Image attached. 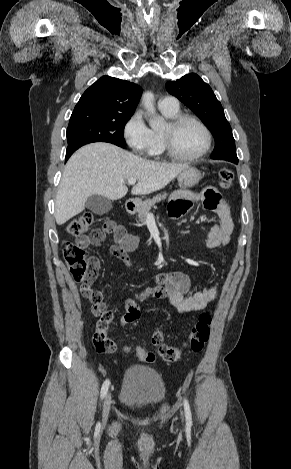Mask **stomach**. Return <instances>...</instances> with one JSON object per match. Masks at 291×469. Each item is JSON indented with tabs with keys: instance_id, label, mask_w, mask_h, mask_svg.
Returning a JSON list of instances; mask_svg holds the SVG:
<instances>
[{
	"instance_id": "1",
	"label": "stomach",
	"mask_w": 291,
	"mask_h": 469,
	"mask_svg": "<svg viewBox=\"0 0 291 469\" xmlns=\"http://www.w3.org/2000/svg\"><path fill=\"white\" fill-rule=\"evenodd\" d=\"M200 179L201 173L194 167H188L178 174V182L184 188L196 185ZM135 203L138 206L141 204V201L139 199H135Z\"/></svg>"
}]
</instances>
